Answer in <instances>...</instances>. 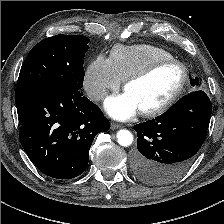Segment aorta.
Segmentation results:
<instances>
[{
  "mask_svg": "<svg viewBox=\"0 0 224 224\" xmlns=\"http://www.w3.org/2000/svg\"><path fill=\"white\" fill-rule=\"evenodd\" d=\"M117 142L123 147L131 145L133 142L132 133L126 129L119 130L117 133Z\"/></svg>",
  "mask_w": 224,
  "mask_h": 224,
  "instance_id": "1",
  "label": "aorta"
}]
</instances>
